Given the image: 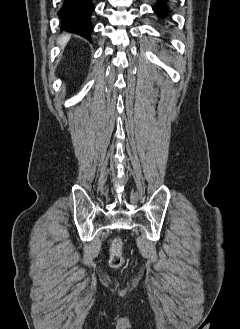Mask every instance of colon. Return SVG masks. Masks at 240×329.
Here are the masks:
<instances>
[{"instance_id":"5ec220e1","label":"colon","mask_w":240,"mask_h":329,"mask_svg":"<svg viewBox=\"0 0 240 329\" xmlns=\"http://www.w3.org/2000/svg\"><path fill=\"white\" fill-rule=\"evenodd\" d=\"M109 264L114 269H119L124 264L123 242L120 237H115L111 243Z\"/></svg>"}]
</instances>
